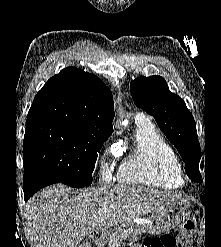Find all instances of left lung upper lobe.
I'll list each match as a JSON object with an SVG mask.
<instances>
[{"label":"left lung upper lobe","instance_id":"5c2ea615","mask_svg":"<svg viewBox=\"0 0 221 247\" xmlns=\"http://www.w3.org/2000/svg\"><path fill=\"white\" fill-rule=\"evenodd\" d=\"M130 91L135 105L155 118L161 131L177 148L189 178L202 183L196 124L183 99L169 91L161 76H141L131 81Z\"/></svg>","mask_w":221,"mask_h":247}]
</instances>
